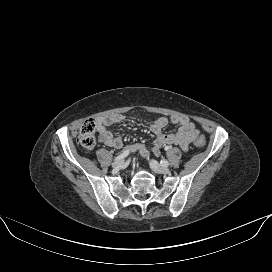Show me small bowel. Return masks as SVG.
Instances as JSON below:
<instances>
[{
	"instance_id": "c3829d8e",
	"label": "small bowel",
	"mask_w": 272,
	"mask_h": 272,
	"mask_svg": "<svg viewBox=\"0 0 272 272\" xmlns=\"http://www.w3.org/2000/svg\"><path fill=\"white\" fill-rule=\"evenodd\" d=\"M122 120L123 116L121 114H112L98 118L97 131L99 141L109 147L116 149L122 148V139L115 136L107 129L109 126L119 123ZM170 121L177 126V130L172 133L163 132L169 123V120L166 117L157 118L151 125V131L155 134V139L151 145V151L156 156L160 154L162 147L168 145H178L183 151H187L189 144L199 135V131L195 128V125L185 116L175 115L171 117ZM133 149L138 150L146 159L150 157L149 151L143 144H136Z\"/></svg>"
}]
</instances>
